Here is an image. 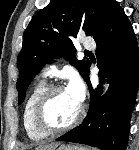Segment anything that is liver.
Instances as JSON below:
<instances>
[{"mask_svg":"<svg viewBox=\"0 0 139 150\" xmlns=\"http://www.w3.org/2000/svg\"><path fill=\"white\" fill-rule=\"evenodd\" d=\"M57 144L40 145L36 150H55Z\"/></svg>","mask_w":139,"mask_h":150,"instance_id":"1","label":"liver"}]
</instances>
